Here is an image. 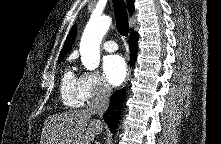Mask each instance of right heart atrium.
<instances>
[{
    "mask_svg": "<svg viewBox=\"0 0 221 144\" xmlns=\"http://www.w3.org/2000/svg\"><path fill=\"white\" fill-rule=\"evenodd\" d=\"M81 94L86 102L106 97L110 88L101 76L92 72H85L80 77Z\"/></svg>",
    "mask_w": 221,
    "mask_h": 144,
    "instance_id": "d8ad5b80",
    "label": "right heart atrium"
}]
</instances>
